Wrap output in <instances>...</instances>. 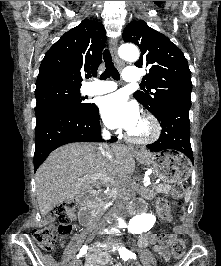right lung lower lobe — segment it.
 Wrapping results in <instances>:
<instances>
[{
	"label": "right lung lower lobe",
	"mask_w": 221,
	"mask_h": 266,
	"mask_svg": "<svg viewBox=\"0 0 221 266\" xmlns=\"http://www.w3.org/2000/svg\"><path fill=\"white\" fill-rule=\"evenodd\" d=\"M112 137L110 142L116 141ZM99 110L95 104L83 113L57 112L36 122L34 171L61 145L72 142H100Z\"/></svg>",
	"instance_id": "right-lung-lower-lobe-1"
}]
</instances>
